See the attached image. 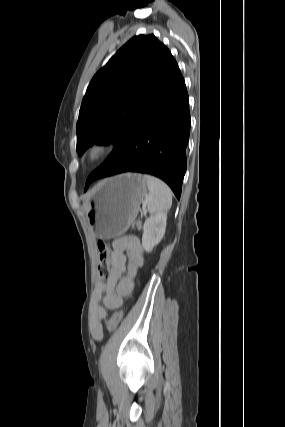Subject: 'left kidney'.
Segmentation results:
<instances>
[{"label": "left kidney", "instance_id": "obj_1", "mask_svg": "<svg viewBox=\"0 0 285 427\" xmlns=\"http://www.w3.org/2000/svg\"><path fill=\"white\" fill-rule=\"evenodd\" d=\"M166 222V213H159L145 221L143 226L142 246L146 252H151L162 240L166 230Z\"/></svg>", "mask_w": 285, "mask_h": 427}]
</instances>
